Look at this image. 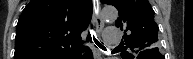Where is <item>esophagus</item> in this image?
Masks as SVG:
<instances>
[{
  "label": "esophagus",
  "instance_id": "obj_1",
  "mask_svg": "<svg viewBox=\"0 0 193 59\" xmlns=\"http://www.w3.org/2000/svg\"><path fill=\"white\" fill-rule=\"evenodd\" d=\"M93 9H94V16L96 19V26H97V31L100 32L102 28L104 27V21L100 17V2L99 0H94L93 1ZM95 44V42L93 41Z\"/></svg>",
  "mask_w": 193,
  "mask_h": 59
}]
</instances>
